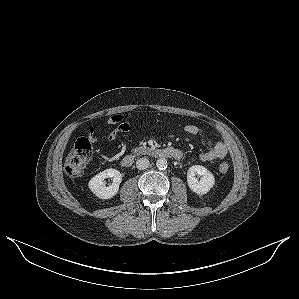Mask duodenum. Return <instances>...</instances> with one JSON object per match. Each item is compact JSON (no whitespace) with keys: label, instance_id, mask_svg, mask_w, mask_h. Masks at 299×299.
<instances>
[{"label":"duodenum","instance_id":"duodenum-1","mask_svg":"<svg viewBox=\"0 0 299 299\" xmlns=\"http://www.w3.org/2000/svg\"><path fill=\"white\" fill-rule=\"evenodd\" d=\"M152 154L158 157L175 159L178 158L180 153L177 149L171 147H164L152 151ZM135 157L133 155H126L120 161V164L124 168H129L133 165Z\"/></svg>","mask_w":299,"mask_h":299}]
</instances>
